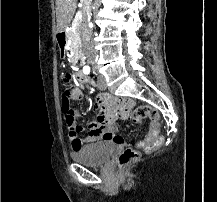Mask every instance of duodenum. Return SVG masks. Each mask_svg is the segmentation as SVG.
Here are the masks:
<instances>
[{
  "mask_svg": "<svg viewBox=\"0 0 217 202\" xmlns=\"http://www.w3.org/2000/svg\"><path fill=\"white\" fill-rule=\"evenodd\" d=\"M57 44L59 48V55L61 58H65L67 56V32L66 31H60L57 34ZM76 76L80 82L86 85L94 86L95 84L93 81L88 79V77L85 75L84 71L79 70L76 73Z\"/></svg>",
  "mask_w": 217,
  "mask_h": 202,
  "instance_id": "410a0bca",
  "label": "duodenum"
}]
</instances>
